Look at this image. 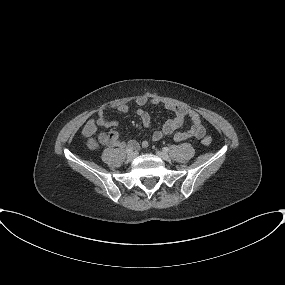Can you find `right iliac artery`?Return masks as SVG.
Returning <instances> with one entry per match:
<instances>
[{
	"label": "right iliac artery",
	"instance_id": "right-iliac-artery-1",
	"mask_svg": "<svg viewBox=\"0 0 285 285\" xmlns=\"http://www.w3.org/2000/svg\"><path fill=\"white\" fill-rule=\"evenodd\" d=\"M126 152H127L128 154L131 153V152H133V148L127 147Z\"/></svg>",
	"mask_w": 285,
	"mask_h": 285
}]
</instances>
